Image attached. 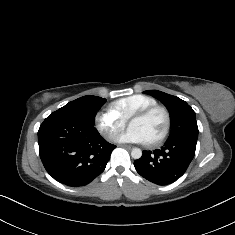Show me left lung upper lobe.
<instances>
[{
  "instance_id": "obj_1",
  "label": "left lung upper lobe",
  "mask_w": 235,
  "mask_h": 235,
  "mask_svg": "<svg viewBox=\"0 0 235 235\" xmlns=\"http://www.w3.org/2000/svg\"><path fill=\"white\" fill-rule=\"evenodd\" d=\"M144 93L159 99L170 111L172 126L168 139L188 138L197 141L198 126L195 112L184 100L158 90H147Z\"/></svg>"
}]
</instances>
